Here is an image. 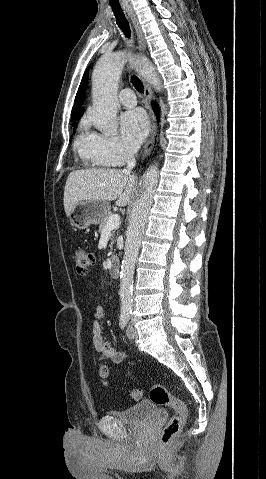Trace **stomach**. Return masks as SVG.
Listing matches in <instances>:
<instances>
[{
  "label": "stomach",
  "instance_id": "stomach-1",
  "mask_svg": "<svg viewBox=\"0 0 266 479\" xmlns=\"http://www.w3.org/2000/svg\"><path fill=\"white\" fill-rule=\"evenodd\" d=\"M110 205L106 201L83 200L72 209L70 224L78 229H85L91 224L100 223L109 213Z\"/></svg>",
  "mask_w": 266,
  "mask_h": 479
}]
</instances>
